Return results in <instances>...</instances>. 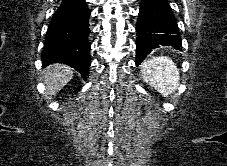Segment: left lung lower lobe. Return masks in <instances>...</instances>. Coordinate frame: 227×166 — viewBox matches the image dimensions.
<instances>
[{
  "instance_id": "obj_1",
  "label": "left lung lower lobe",
  "mask_w": 227,
  "mask_h": 166,
  "mask_svg": "<svg viewBox=\"0 0 227 166\" xmlns=\"http://www.w3.org/2000/svg\"><path fill=\"white\" fill-rule=\"evenodd\" d=\"M136 32L137 65L160 45L182 47L179 28L167 0H141Z\"/></svg>"
}]
</instances>
